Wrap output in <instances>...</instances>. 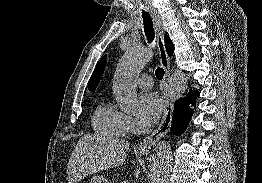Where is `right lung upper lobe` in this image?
Segmentation results:
<instances>
[{"label":"right lung upper lobe","instance_id":"obj_1","mask_svg":"<svg viewBox=\"0 0 262 183\" xmlns=\"http://www.w3.org/2000/svg\"><path fill=\"white\" fill-rule=\"evenodd\" d=\"M164 41H165V45H166V51H167L168 55L171 56L172 53H173V50H174L173 43L169 39L168 36H165ZM105 64H106V56H104L102 59H100V61L97 63L95 70H94V72H93V74H92V76L89 80L88 88H89L90 91H94V89L98 85V83H99V81L102 77L103 71L105 69Z\"/></svg>","mask_w":262,"mask_h":183}]
</instances>
